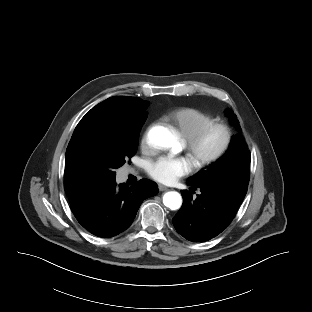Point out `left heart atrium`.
Masks as SVG:
<instances>
[{
	"instance_id": "1",
	"label": "left heart atrium",
	"mask_w": 312,
	"mask_h": 312,
	"mask_svg": "<svg viewBox=\"0 0 312 312\" xmlns=\"http://www.w3.org/2000/svg\"><path fill=\"white\" fill-rule=\"evenodd\" d=\"M192 170L191 161L185 157L163 156L148 168L150 177L160 183L172 184Z\"/></svg>"
}]
</instances>
